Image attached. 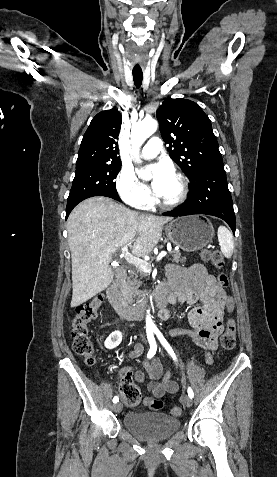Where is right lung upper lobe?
I'll return each instance as SVG.
<instances>
[{
  "mask_svg": "<svg viewBox=\"0 0 277 477\" xmlns=\"http://www.w3.org/2000/svg\"><path fill=\"white\" fill-rule=\"evenodd\" d=\"M121 114L113 108L98 113L86 130L78 152L76 168L93 164H116Z\"/></svg>",
  "mask_w": 277,
  "mask_h": 477,
  "instance_id": "obj_1",
  "label": "right lung upper lobe"
}]
</instances>
